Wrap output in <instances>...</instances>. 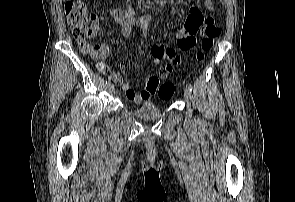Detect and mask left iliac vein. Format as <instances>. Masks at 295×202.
I'll return each mask as SVG.
<instances>
[{
  "instance_id": "1",
  "label": "left iliac vein",
  "mask_w": 295,
  "mask_h": 202,
  "mask_svg": "<svg viewBox=\"0 0 295 202\" xmlns=\"http://www.w3.org/2000/svg\"><path fill=\"white\" fill-rule=\"evenodd\" d=\"M184 96L187 100H190L192 98L191 91L188 88H185L184 90Z\"/></svg>"
}]
</instances>
